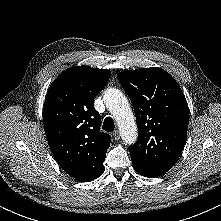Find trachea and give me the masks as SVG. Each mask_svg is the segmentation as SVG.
Returning <instances> with one entry per match:
<instances>
[{
	"label": "trachea",
	"mask_w": 221,
	"mask_h": 221,
	"mask_svg": "<svg viewBox=\"0 0 221 221\" xmlns=\"http://www.w3.org/2000/svg\"><path fill=\"white\" fill-rule=\"evenodd\" d=\"M102 129L107 131V132H113L115 129L114 121L111 117H106Z\"/></svg>",
	"instance_id": "1"
}]
</instances>
